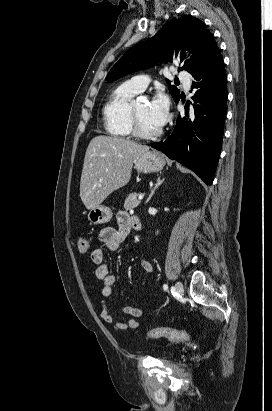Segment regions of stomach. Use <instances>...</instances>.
Instances as JSON below:
<instances>
[{
  "label": "stomach",
  "instance_id": "1",
  "mask_svg": "<svg viewBox=\"0 0 272 411\" xmlns=\"http://www.w3.org/2000/svg\"><path fill=\"white\" fill-rule=\"evenodd\" d=\"M133 164L137 172H158L165 166V159L159 152L147 151L138 156ZM112 215L110 208L100 205L90 210L88 220L94 225L105 224L111 220Z\"/></svg>",
  "mask_w": 272,
  "mask_h": 411
}]
</instances>
